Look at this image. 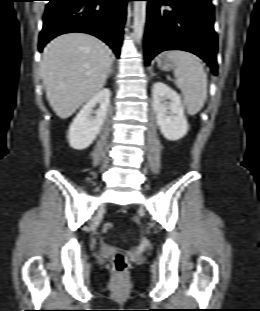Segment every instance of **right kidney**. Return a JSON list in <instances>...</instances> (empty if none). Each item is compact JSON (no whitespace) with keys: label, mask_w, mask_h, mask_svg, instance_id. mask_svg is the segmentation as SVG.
Masks as SVG:
<instances>
[{"label":"right kidney","mask_w":260,"mask_h":311,"mask_svg":"<svg viewBox=\"0 0 260 311\" xmlns=\"http://www.w3.org/2000/svg\"><path fill=\"white\" fill-rule=\"evenodd\" d=\"M111 92L108 88L100 90L90 99L74 118L68 131V141L73 149L89 147L100 133L110 105ZM99 104L96 116L91 117L92 109Z\"/></svg>","instance_id":"ca27d5eb"}]
</instances>
